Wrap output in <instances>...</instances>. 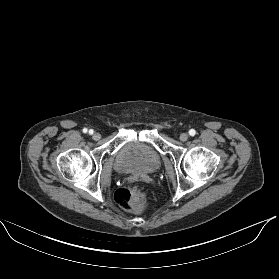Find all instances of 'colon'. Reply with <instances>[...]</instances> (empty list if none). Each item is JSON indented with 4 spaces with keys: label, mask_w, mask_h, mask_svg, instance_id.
Instances as JSON below:
<instances>
[{
    "label": "colon",
    "mask_w": 279,
    "mask_h": 279,
    "mask_svg": "<svg viewBox=\"0 0 279 279\" xmlns=\"http://www.w3.org/2000/svg\"><path fill=\"white\" fill-rule=\"evenodd\" d=\"M114 197L118 205L128 212L142 211L148 204L146 194L137 188H120L115 192Z\"/></svg>",
    "instance_id": "1"
}]
</instances>
